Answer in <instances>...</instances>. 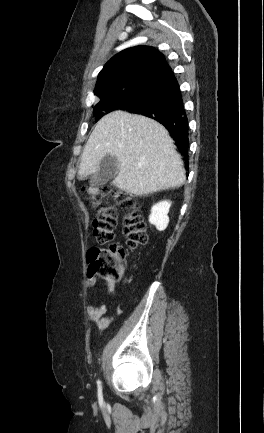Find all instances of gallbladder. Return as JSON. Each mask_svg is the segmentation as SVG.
<instances>
[{
	"label": "gallbladder",
	"mask_w": 264,
	"mask_h": 433,
	"mask_svg": "<svg viewBox=\"0 0 264 433\" xmlns=\"http://www.w3.org/2000/svg\"><path fill=\"white\" fill-rule=\"evenodd\" d=\"M118 174V161L115 156L106 155L100 162L99 170L91 177L90 185L101 186Z\"/></svg>",
	"instance_id": "obj_1"
}]
</instances>
